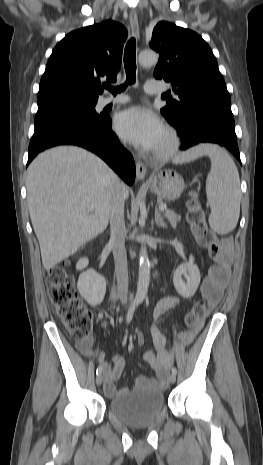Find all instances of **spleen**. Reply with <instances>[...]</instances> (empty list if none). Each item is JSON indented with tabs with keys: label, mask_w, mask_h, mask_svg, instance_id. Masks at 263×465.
<instances>
[{
	"label": "spleen",
	"mask_w": 263,
	"mask_h": 465,
	"mask_svg": "<svg viewBox=\"0 0 263 465\" xmlns=\"http://www.w3.org/2000/svg\"><path fill=\"white\" fill-rule=\"evenodd\" d=\"M203 155L211 160L206 180L211 208L209 225L218 234H227L237 225L241 200L239 173L231 157L217 145L201 144L179 155L174 162L192 161Z\"/></svg>",
	"instance_id": "obj_1"
}]
</instances>
